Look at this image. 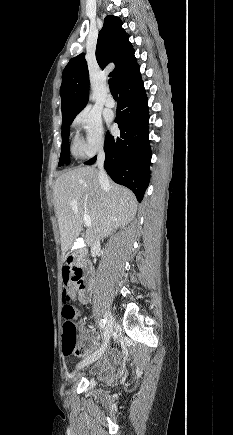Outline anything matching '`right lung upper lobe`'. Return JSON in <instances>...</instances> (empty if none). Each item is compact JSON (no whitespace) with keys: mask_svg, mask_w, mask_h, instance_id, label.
I'll list each match as a JSON object with an SVG mask.
<instances>
[{"mask_svg":"<svg viewBox=\"0 0 233 435\" xmlns=\"http://www.w3.org/2000/svg\"><path fill=\"white\" fill-rule=\"evenodd\" d=\"M128 38L120 18L109 15L104 19L98 35L96 59L102 69L111 62L115 64L110 76L116 79L117 85L140 72ZM88 86V67L82 53L72 58L62 73L60 95L63 117L77 115L86 106Z\"/></svg>","mask_w":233,"mask_h":435,"instance_id":"cb5924a9","label":"right lung upper lobe"}]
</instances>
